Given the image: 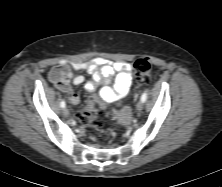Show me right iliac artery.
<instances>
[{"label": "right iliac artery", "mask_w": 222, "mask_h": 187, "mask_svg": "<svg viewBox=\"0 0 222 187\" xmlns=\"http://www.w3.org/2000/svg\"><path fill=\"white\" fill-rule=\"evenodd\" d=\"M60 106H61L62 108H64V107L66 106L65 101H62V102L60 103Z\"/></svg>", "instance_id": "right-iliac-artery-1"}]
</instances>
